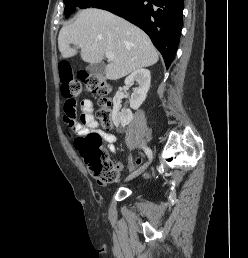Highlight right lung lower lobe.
I'll return each instance as SVG.
<instances>
[{"label":"right lung lower lobe","instance_id":"obj_1","mask_svg":"<svg viewBox=\"0 0 248 258\" xmlns=\"http://www.w3.org/2000/svg\"><path fill=\"white\" fill-rule=\"evenodd\" d=\"M95 8L110 11L144 30L169 68L180 39L184 0H107Z\"/></svg>","mask_w":248,"mask_h":258}]
</instances>
